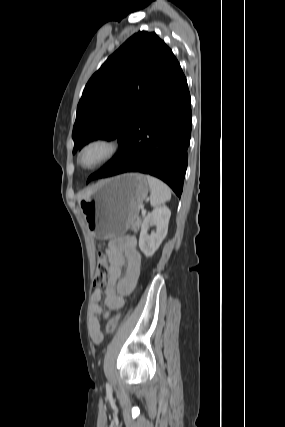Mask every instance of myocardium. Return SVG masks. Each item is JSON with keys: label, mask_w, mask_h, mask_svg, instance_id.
I'll use <instances>...</instances> for the list:
<instances>
[{"label": "myocardium", "mask_w": 285, "mask_h": 427, "mask_svg": "<svg viewBox=\"0 0 285 427\" xmlns=\"http://www.w3.org/2000/svg\"><path fill=\"white\" fill-rule=\"evenodd\" d=\"M95 146L104 148V153L101 158L91 165L84 164V156L88 150ZM119 151V142L108 136H99L87 141L79 150L77 154V164L84 171H94L102 168L110 161H112Z\"/></svg>", "instance_id": "myocardium-1"}]
</instances>
